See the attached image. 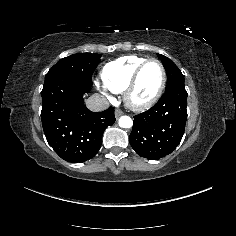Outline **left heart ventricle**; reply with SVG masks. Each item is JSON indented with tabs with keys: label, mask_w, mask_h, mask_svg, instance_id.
Returning a JSON list of instances; mask_svg holds the SVG:
<instances>
[{
	"label": "left heart ventricle",
	"mask_w": 236,
	"mask_h": 236,
	"mask_svg": "<svg viewBox=\"0 0 236 236\" xmlns=\"http://www.w3.org/2000/svg\"><path fill=\"white\" fill-rule=\"evenodd\" d=\"M162 79L161 67L155 63H149L141 72L134 88L132 98L136 102H145L156 93Z\"/></svg>",
	"instance_id": "obj_1"
}]
</instances>
